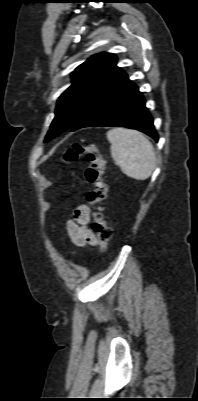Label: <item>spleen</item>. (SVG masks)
Instances as JSON below:
<instances>
[{
    "instance_id": "3e777b00",
    "label": "spleen",
    "mask_w": 198,
    "mask_h": 401,
    "mask_svg": "<svg viewBox=\"0 0 198 401\" xmlns=\"http://www.w3.org/2000/svg\"><path fill=\"white\" fill-rule=\"evenodd\" d=\"M111 156L121 171L135 180H146L156 167L152 143L140 132L114 128L107 132Z\"/></svg>"
}]
</instances>
